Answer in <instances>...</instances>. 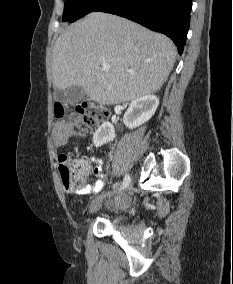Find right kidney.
<instances>
[{"instance_id": "ca27d5eb", "label": "right kidney", "mask_w": 233, "mask_h": 284, "mask_svg": "<svg viewBox=\"0 0 233 284\" xmlns=\"http://www.w3.org/2000/svg\"><path fill=\"white\" fill-rule=\"evenodd\" d=\"M159 105V99L155 95H145L133 100L124 114L123 122L129 128H136L147 122L155 113ZM115 138L114 126L103 123L93 136V143L96 147L113 141Z\"/></svg>"}]
</instances>
